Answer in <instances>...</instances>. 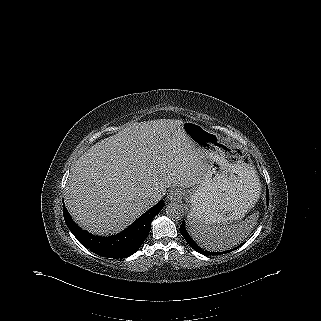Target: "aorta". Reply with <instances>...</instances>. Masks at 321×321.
Instances as JSON below:
<instances>
[{
    "label": "aorta",
    "instance_id": "aorta-1",
    "mask_svg": "<svg viewBox=\"0 0 321 321\" xmlns=\"http://www.w3.org/2000/svg\"><path fill=\"white\" fill-rule=\"evenodd\" d=\"M166 214L172 219H181L184 215V208L178 202H171L166 207Z\"/></svg>",
    "mask_w": 321,
    "mask_h": 321
}]
</instances>
